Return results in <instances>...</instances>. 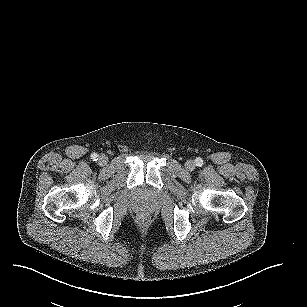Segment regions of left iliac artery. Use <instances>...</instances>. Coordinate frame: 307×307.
I'll use <instances>...</instances> for the list:
<instances>
[{"mask_svg":"<svg viewBox=\"0 0 307 307\" xmlns=\"http://www.w3.org/2000/svg\"><path fill=\"white\" fill-rule=\"evenodd\" d=\"M195 163H196L197 166L201 167L203 165L202 158H200V157L196 158Z\"/></svg>","mask_w":307,"mask_h":307,"instance_id":"44dca946","label":"left iliac artery"}]
</instances>
